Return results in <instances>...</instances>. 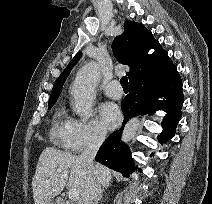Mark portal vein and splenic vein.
Returning a JSON list of instances; mask_svg holds the SVG:
<instances>
[{"mask_svg":"<svg viewBox=\"0 0 212 204\" xmlns=\"http://www.w3.org/2000/svg\"><path fill=\"white\" fill-rule=\"evenodd\" d=\"M57 172L60 173V172H62V170L57 169ZM68 197L71 201H78L79 200V192L75 189H71L68 192Z\"/></svg>","mask_w":212,"mask_h":204,"instance_id":"1","label":"portal vein and splenic vein"}]
</instances>
